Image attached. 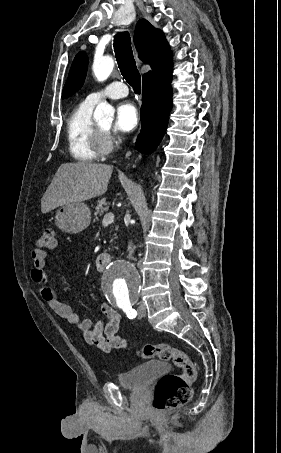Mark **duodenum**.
Instances as JSON below:
<instances>
[{
	"label": "duodenum",
	"mask_w": 281,
	"mask_h": 453,
	"mask_svg": "<svg viewBox=\"0 0 281 453\" xmlns=\"http://www.w3.org/2000/svg\"><path fill=\"white\" fill-rule=\"evenodd\" d=\"M111 256L109 253L102 252L96 258V267L99 271H104L105 268L110 264Z\"/></svg>",
	"instance_id": "duodenum-1"
}]
</instances>
